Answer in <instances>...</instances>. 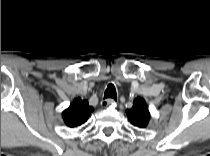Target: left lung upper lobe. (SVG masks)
Here are the masks:
<instances>
[{"label": "left lung upper lobe", "instance_id": "left-lung-upper-lobe-1", "mask_svg": "<svg viewBox=\"0 0 210 156\" xmlns=\"http://www.w3.org/2000/svg\"><path fill=\"white\" fill-rule=\"evenodd\" d=\"M126 114L131 123L140 128L146 127L150 119L148 107L142 98H136L133 102V107L126 110Z\"/></svg>", "mask_w": 210, "mask_h": 156}]
</instances>
